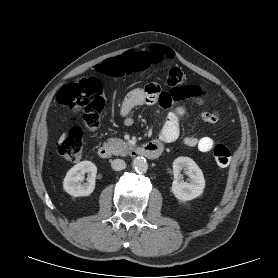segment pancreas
<instances>
[{"instance_id":"cf45deb5","label":"pancreas","mask_w":278,"mask_h":278,"mask_svg":"<svg viewBox=\"0 0 278 278\" xmlns=\"http://www.w3.org/2000/svg\"><path fill=\"white\" fill-rule=\"evenodd\" d=\"M114 155L126 156L129 151V143L120 138H109L106 143Z\"/></svg>"}]
</instances>
